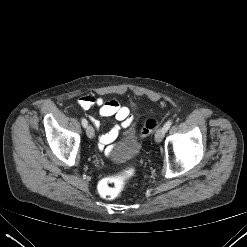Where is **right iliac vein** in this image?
I'll return each instance as SVG.
<instances>
[{"instance_id": "63e3f726", "label": "right iliac vein", "mask_w": 247, "mask_h": 247, "mask_svg": "<svg viewBox=\"0 0 247 247\" xmlns=\"http://www.w3.org/2000/svg\"><path fill=\"white\" fill-rule=\"evenodd\" d=\"M86 134L90 139H92L94 137V129L91 125L87 126Z\"/></svg>"}]
</instances>
